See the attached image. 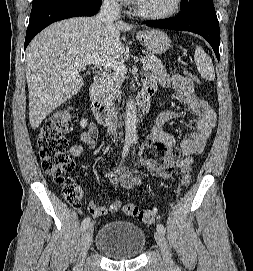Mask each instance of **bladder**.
<instances>
[{
	"mask_svg": "<svg viewBox=\"0 0 253 271\" xmlns=\"http://www.w3.org/2000/svg\"><path fill=\"white\" fill-rule=\"evenodd\" d=\"M95 247L110 260H131L143 253L146 235L132 222L112 221L99 230Z\"/></svg>",
	"mask_w": 253,
	"mask_h": 271,
	"instance_id": "1",
	"label": "bladder"
}]
</instances>
